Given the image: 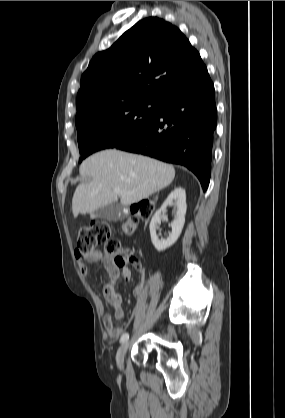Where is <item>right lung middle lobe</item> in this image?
Segmentation results:
<instances>
[{"label":"right lung middle lobe","mask_w":285,"mask_h":418,"mask_svg":"<svg viewBox=\"0 0 285 418\" xmlns=\"http://www.w3.org/2000/svg\"><path fill=\"white\" fill-rule=\"evenodd\" d=\"M158 113V104L145 101L120 104L76 123L81 163L90 154L114 148L140 133Z\"/></svg>","instance_id":"dd1d6c3e"}]
</instances>
